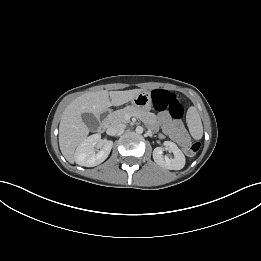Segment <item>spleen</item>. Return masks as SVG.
Masks as SVG:
<instances>
[{"instance_id":"obj_1","label":"spleen","mask_w":261,"mask_h":261,"mask_svg":"<svg viewBox=\"0 0 261 261\" xmlns=\"http://www.w3.org/2000/svg\"><path fill=\"white\" fill-rule=\"evenodd\" d=\"M193 123H194V130L192 132V135L195 139H200L203 135V129L201 120L198 115H195L193 117Z\"/></svg>"}]
</instances>
